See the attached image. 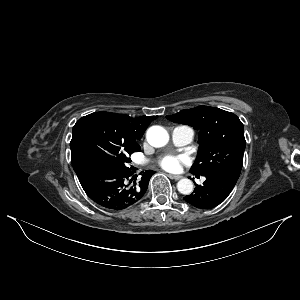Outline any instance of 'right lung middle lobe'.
I'll return each instance as SVG.
<instances>
[{
  "label": "right lung middle lobe",
  "mask_w": 300,
  "mask_h": 300,
  "mask_svg": "<svg viewBox=\"0 0 300 300\" xmlns=\"http://www.w3.org/2000/svg\"><path fill=\"white\" fill-rule=\"evenodd\" d=\"M70 147L75 172L98 162H110L128 169L129 156L141 150L124 141L96 112L76 122Z\"/></svg>",
  "instance_id": "1"
}]
</instances>
